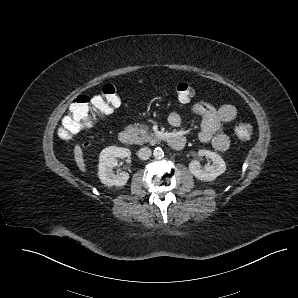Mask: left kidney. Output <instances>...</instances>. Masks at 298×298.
<instances>
[{
	"instance_id": "left-kidney-1",
	"label": "left kidney",
	"mask_w": 298,
	"mask_h": 298,
	"mask_svg": "<svg viewBox=\"0 0 298 298\" xmlns=\"http://www.w3.org/2000/svg\"><path fill=\"white\" fill-rule=\"evenodd\" d=\"M197 155L200 157L206 156L212 161V164L205 166H201L198 160H192L190 162L189 169L199 180H213L224 172L226 168L225 162L217 153L208 149H199Z\"/></svg>"
}]
</instances>
